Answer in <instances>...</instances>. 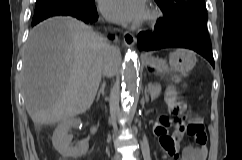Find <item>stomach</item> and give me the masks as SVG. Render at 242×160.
Segmentation results:
<instances>
[{"mask_svg":"<svg viewBox=\"0 0 242 160\" xmlns=\"http://www.w3.org/2000/svg\"><path fill=\"white\" fill-rule=\"evenodd\" d=\"M144 63L148 68L154 69L157 74H164L168 71V66L164 59L152 57L144 58ZM169 63L172 69L186 74L196 64L195 53L187 49H176L170 54Z\"/></svg>","mask_w":242,"mask_h":160,"instance_id":"1","label":"stomach"}]
</instances>
